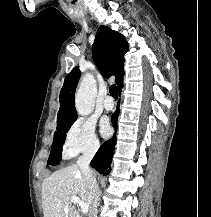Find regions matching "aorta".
Returning a JSON list of instances; mask_svg holds the SVG:
<instances>
[{"label":"aorta","mask_w":211,"mask_h":217,"mask_svg":"<svg viewBox=\"0 0 211 217\" xmlns=\"http://www.w3.org/2000/svg\"><path fill=\"white\" fill-rule=\"evenodd\" d=\"M96 94V80L92 74L86 73L82 77L75 96V107L79 115L87 116L92 113Z\"/></svg>","instance_id":"762f6f07"}]
</instances>
